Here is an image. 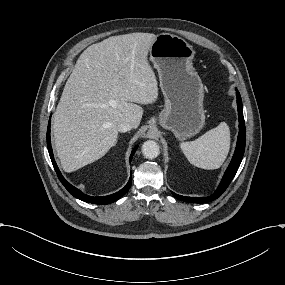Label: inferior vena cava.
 Returning a JSON list of instances; mask_svg holds the SVG:
<instances>
[{"mask_svg":"<svg viewBox=\"0 0 285 285\" xmlns=\"http://www.w3.org/2000/svg\"><path fill=\"white\" fill-rule=\"evenodd\" d=\"M133 127L128 119H124L121 122L118 123L117 125V130L119 132H127L131 130Z\"/></svg>","mask_w":285,"mask_h":285,"instance_id":"inferior-vena-cava-1","label":"inferior vena cava"}]
</instances>
